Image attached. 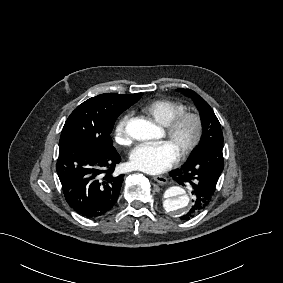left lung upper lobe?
Here are the masks:
<instances>
[{
    "label": "left lung upper lobe",
    "instance_id": "obj_1",
    "mask_svg": "<svg viewBox=\"0 0 283 283\" xmlns=\"http://www.w3.org/2000/svg\"><path fill=\"white\" fill-rule=\"evenodd\" d=\"M185 96L194 100L198 110L200 111V117L203 126V133L196 150L193 152L192 157L199 155L205 148L210 147H222L223 146V134L220 128V123L214 114L212 108L207 102L202 99L197 93L189 89H178Z\"/></svg>",
    "mask_w": 283,
    "mask_h": 283
}]
</instances>
